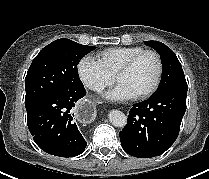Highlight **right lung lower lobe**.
Here are the masks:
<instances>
[{
    "label": "right lung lower lobe",
    "instance_id": "1",
    "mask_svg": "<svg viewBox=\"0 0 209 179\" xmlns=\"http://www.w3.org/2000/svg\"><path fill=\"white\" fill-rule=\"evenodd\" d=\"M85 95L84 87L56 93L27 111L29 131L43 151L59 157H74L84 152L87 142L74 122L72 108Z\"/></svg>",
    "mask_w": 209,
    "mask_h": 179
}]
</instances>
